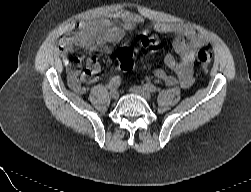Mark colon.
Masks as SVG:
<instances>
[{
    "label": "colon",
    "instance_id": "colon-1",
    "mask_svg": "<svg viewBox=\"0 0 251 192\" xmlns=\"http://www.w3.org/2000/svg\"><path fill=\"white\" fill-rule=\"evenodd\" d=\"M160 38L153 33L144 34L140 39L141 49L153 53L160 45ZM211 59V53L206 49H200L196 53V63L199 67H205ZM136 60V53L133 49L123 48L118 56L119 67L123 71L133 68Z\"/></svg>",
    "mask_w": 251,
    "mask_h": 192
}]
</instances>
